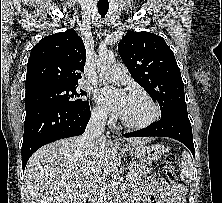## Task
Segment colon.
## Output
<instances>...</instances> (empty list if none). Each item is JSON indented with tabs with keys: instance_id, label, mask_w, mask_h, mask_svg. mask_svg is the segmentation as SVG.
<instances>
[{
	"instance_id": "1",
	"label": "colon",
	"mask_w": 222,
	"mask_h": 203,
	"mask_svg": "<svg viewBox=\"0 0 222 203\" xmlns=\"http://www.w3.org/2000/svg\"><path fill=\"white\" fill-rule=\"evenodd\" d=\"M164 175L166 179L173 185L177 184V176L175 170V159L173 157H169L165 161L164 166Z\"/></svg>"
}]
</instances>
